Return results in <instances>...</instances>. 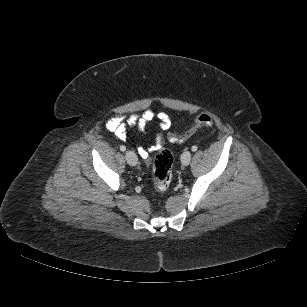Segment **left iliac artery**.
Masks as SVG:
<instances>
[{"label":"left iliac artery","mask_w":307,"mask_h":307,"mask_svg":"<svg viewBox=\"0 0 307 307\" xmlns=\"http://www.w3.org/2000/svg\"><path fill=\"white\" fill-rule=\"evenodd\" d=\"M197 149H198V147H197L196 145L192 146V148H191V150H192L193 152H195Z\"/></svg>","instance_id":"obj_1"}]
</instances>
